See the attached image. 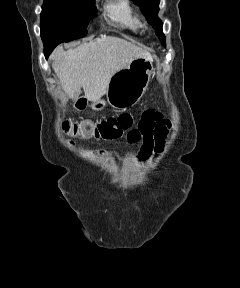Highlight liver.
Here are the masks:
<instances>
[{"mask_svg":"<svg viewBox=\"0 0 240 288\" xmlns=\"http://www.w3.org/2000/svg\"><path fill=\"white\" fill-rule=\"evenodd\" d=\"M140 57L152 61L148 51L129 41L101 36L67 51L57 47L52 67L71 99L77 100L83 88L85 98L96 102L106 94L112 76Z\"/></svg>","mask_w":240,"mask_h":288,"instance_id":"1","label":"liver"}]
</instances>
